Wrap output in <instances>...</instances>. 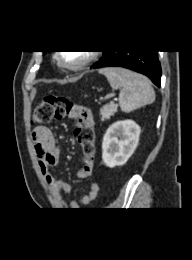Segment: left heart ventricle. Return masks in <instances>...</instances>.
Listing matches in <instances>:
<instances>
[{"mask_svg": "<svg viewBox=\"0 0 192 260\" xmlns=\"http://www.w3.org/2000/svg\"><path fill=\"white\" fill-rule=\"evenodd\" d=\"M63 58L68 64H77L88 55L86 51H66L63 52Z\"/></svg>", "mask_w": 192, "mask_h": 260, "instance_id": "left-heart-ventricle-1", "label": "left heart ventricle"}]
</instances>
